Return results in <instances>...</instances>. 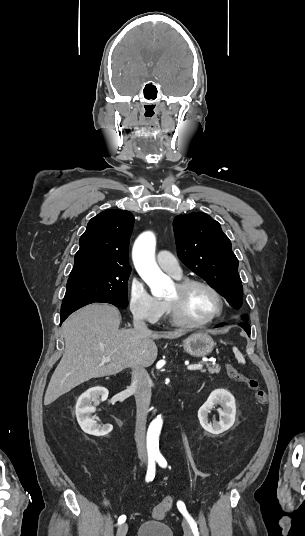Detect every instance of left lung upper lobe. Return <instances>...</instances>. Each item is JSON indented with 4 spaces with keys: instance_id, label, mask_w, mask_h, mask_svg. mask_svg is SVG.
Here are the masks:
<instances>
[{
    "instance_id": "left-lung-upper-lobe-1",
    "label": "left lung upper lobe",
    "mask_w": 305,
    "mask_h": 536,
    "mask_svg": "<svg viewBox=\"0 0 305 536\" xmlns=\"http://www.w3.org/2000/svg\"><path fill=\"white\" fill-rule=\"evenodd\" d=\"M173 228L180 260L239 309L243 291L238 259L220 224L209 215L196 212L176 216Z\"/></svg>"
}]
</instances>
